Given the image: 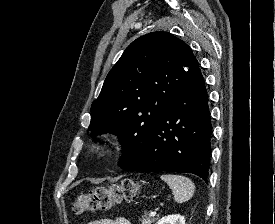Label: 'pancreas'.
<instances>
[{"label": "pancreas", "instance_id": "pancreas-1", "mask_svg": "<svg viewBox=\"0 0 275 224\" xmlns=\"http://www.w3.org/2000/svg\"><path fill=\"white\" fill-rule=\"evenodd\" d=\"M158 218H151L148 215H143L139 220L141 221L142 224H152L157 220Z\"/></svg>", "mask_w": 275, "mask_h": 224}]
</instances>
